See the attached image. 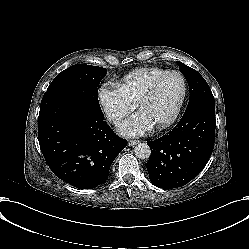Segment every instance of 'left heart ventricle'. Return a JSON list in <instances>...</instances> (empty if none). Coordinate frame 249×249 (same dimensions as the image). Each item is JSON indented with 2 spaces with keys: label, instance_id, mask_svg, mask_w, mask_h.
<instances>
[{
  "label": "left heart ventricle",
  "instance_id": "b2bd125f",
  "mask_svg": "<svg viewBox=\"0 0 249 249\" xmlns=\"http://www.w3.org/2000/svg\"><path fill=\"white\" fill-rule=\"evenodd\" d=\"M179 95L180 84L176 78H172L143 109V115L150 121L164 123L172 115Z\"/></svg>",
  "mask_w": 249,
  "mask_h": 249
}]
</instances>
